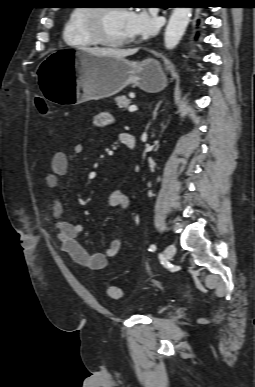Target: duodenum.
Wrapping results in <instances>:
<instances>
[{
    "mask_svg": "<svg viewBox=\"0 0 255 387\" xmlns=\"http://www.w3.org/2000/svg\"><path fill=\"white\" fill-rule=\"evenodd\" d=\"M120 139L121 142L129 149H133L136 145L135 137L130 133H122L120 135Z\"/></svg>",
    "mask_w": 255,
    "mask_h": 387,
    "instance_id": "410a0bca",
    "label": "duodenum"
}]
</instances>
